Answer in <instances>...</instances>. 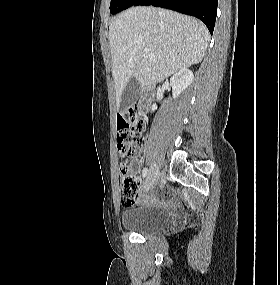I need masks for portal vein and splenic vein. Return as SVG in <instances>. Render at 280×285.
Returning <instances> with one entry per match:
<instances>
[{
  "label": "portal vein and splenic vein",
  "instance_id": "18ae733b",
  "mask_svg": "<svg viewBox=\"0 0 280 285\" xmlns=\"http://www.w3.org/2000/svg\"><path fill=\"white\" fill-rule=\"evenodd\" d=\"M144 54H145L150 60H154V59H155L154 54L150 53L149 49H147V48L144 49Z\"/></svg>",
  "mask_w": 280,
  "mask_h": 285
}]
</instances>
